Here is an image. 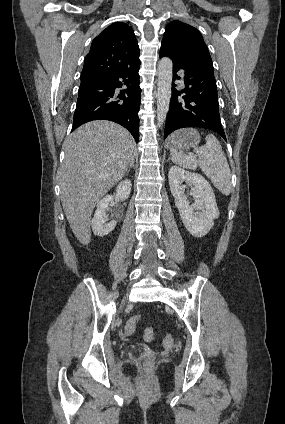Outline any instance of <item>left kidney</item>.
<instances>
[{
	"instance_id": "obj_1",
	"label": "left kidney",
	"mask_w": 285,
	"mask_h": 424,
	"mask_svg": "<svg viewBox=\"0 0 285 424\" xmlns=\"http://www.w3.org/2000/svg\"><path fill=\"white\" fill-rule=\"evenodd\" d=\"M171 194L175 198V205L179 210L181 220L187 231L195 237L205 236L214 225V220L219 217L215 195L211 185L200 174L186 171L180 167L172 166L168 173ZM186 182L192 186L191 195L195 198L192 207L185 194ZM194 209L197 212H194Z\"/></svg>"
}]
</instances>
